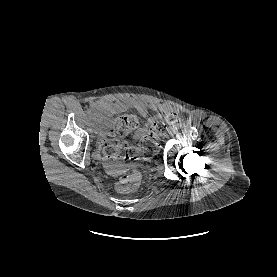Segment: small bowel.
Here are the masks:
<instances>
[{
  "mask_svg": "<svg viewBox=\"0 0 277 277\" xmlns=\"http://www.w3.org/2000/svg\"><path fill=\"white\" fill-rule=\"evenodd\" d=\"M126 104L123 102H114L110 103L107 101L99 100L95 101L91 104L92 116L101 123L102 127H105L109 123L108 113L115 111L119 107H125ZM137 110L142 114L146 115L149 109L157 111L162 118H172L174 117V110L166 104H147L143 102L136 103ZM156 122V118H150L148 120V124H154ZM142 136V132L135 134L136 138H140ZM107 168L111 171L114 170V166L110 163H107Z\"/></svg>",
  "mask_w": 277,
  "mask_h": 277,
  "instance_id": "c3829d8e",
  "label": "small bowel"
}]
</instances>
